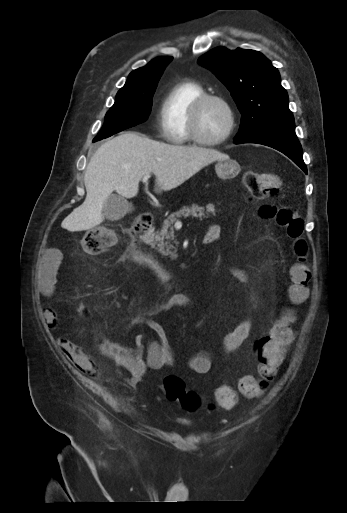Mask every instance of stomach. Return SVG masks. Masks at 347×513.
I'll return each mask as SVG.
<instances>
[{
	"label": "stomach",
	"instance_id": "obj_1",
	"mask_svg": "<svg viewBox=\"0 0 347 513\" xmlns=\"http://www.w3.org/2000/svg\"><path fill=\"white\" fill-rule=\"evenodd\" d=\"M241 168L239 163L233 159L218 160L215 165L217 176L223 180L232 179L237 176Z\"/></svg>",
	"mask_w": 347,
	"mask_h": 513
}]
</instances>
